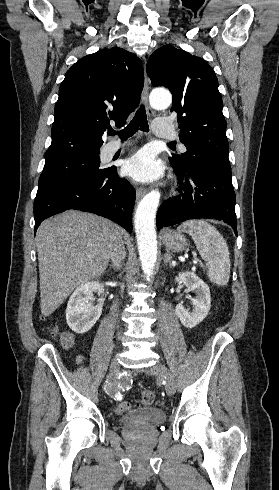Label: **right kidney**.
<instances>
[{
    "instance_id": "ca27d5eb",
    "label": "right kidney",
    "mask_w": 279,
    "mask_h": 490,
    "mask_svg": "<svg viewBox=\"0 0 279 490\" xmlns=\"http://www.w3.org/2000/svg\"><path fill=\"white\" fill-rule=\"evenodd\" d=\"M93 292L101 294L97 306H92L89 300L93 296ZM104 286L100 282H86L76 288L72 296L69 298L66 310V322L76 334H85L91 330L92 326L99 320L105 298Z\"/></svg>"
}]
</instances>
